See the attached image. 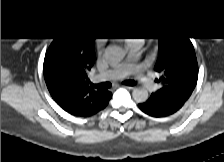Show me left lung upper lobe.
I'll list each match as a JSON object with an SVG mask.
<instances>
[{"label": "left lung upper lobe", "instance_id": "obj_1", "mask_svg": "<svg viewBox=\"0 0 224 162\" xmlns=\"http://www.w3.org/2000/svg\"><path fill=\"white\" fill-rule=\"evenodd\" d=\"M159 55L154 69L163 87L153 93L156 100L184 103L198 79L196 55L190 40L170 32H158Z\"/></svg>", "mask_w": 224, "mask_h": 162}]
</instances>
